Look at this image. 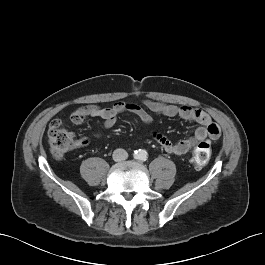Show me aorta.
I'll return each mask as SVG.
<instances>
[{
	"label": "aorta",
	"mask_w": 265,
	"mask_h": 265,
	"mask_svg": "<svg viewBox=\"0 0 265 265\" xmlns=\"http://www.w3.org/2000/svg\"><path fill=\"white\" fill-rule=\"evenodd\" d=\"M147 151L144 150V149H139L137 151H135V158L138 159V160H146L147 159Z\"/></svg>",
	"instance_id": "1"
}]
</instances>
